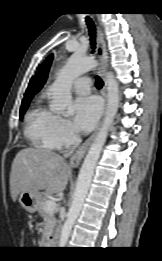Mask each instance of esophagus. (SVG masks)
<instances>
[{"label": "esophagus", "mask_w": 162, "mask_h": 261, "mask_svg": "<svg viewBox=\"0 0 162 261\" xmlns=\"http://www.w3.org/2000/svg\"><path fill=\"white\" fill-rule=\"evenodd\" d=\"M97 55L98 58L100 60V75L103 78L104 81V86L102 89V95L104 98V109H103V114L102 117L100 119V121L98 122L94 132L91 134L90 137H88L85 142L76 150V152L74 153V155L70 158L69 164L72 168H77L82 160V158L84 157L87 149L89 148L90 144L92 143V141L94 140L99 127L101 125L104 113H105V109H106V101H107V91H106V69L108 67V52H107V45H106V41H105V36L104 33L102 32L101 28L99 27V33H98V47H97Z\"/></svg>", "instance_id": "34e87169"}]
</instances>
